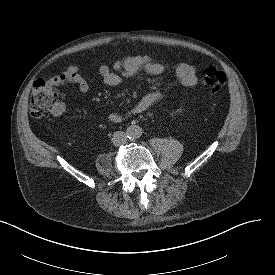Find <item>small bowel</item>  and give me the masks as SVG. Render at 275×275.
Segmentation results:
<instances>
[{
  "label": "small bowel",
  "mask_w": 275,
  "mask_h": 275,
  "mask_svg": "<svg viewBox=\"0 0 275 275\" xmlns=\"http://www.w3.org/2000/svg\"><path fill=\"white\" fill-rule=\"evenodd\" d=\"M141 70H144L150 75L158 76L163 74L164 66L153 60L149 55H134L116 60L112 66L107 64L101 65L99 75L104 84L115 87L121 83L124 77L134 76ZM175 75L185 87L190 88L197 84L196 69L190 64H178L175 68ZM50 83L54 86L76 85L81 94L88 93L90 89L88 81L80 74L78 68L74 65L67 67V69L55 75L50 79ZM161 98V92L156 90L150 91L143 95L128 113H112L108 116V119L113 123H118L127 117L142 114L160 101ZM63 111V105L59 104V106L53 110V115H61Z\"/></svg>",
  "instance_id": "obj_1"
}]
</instances>
